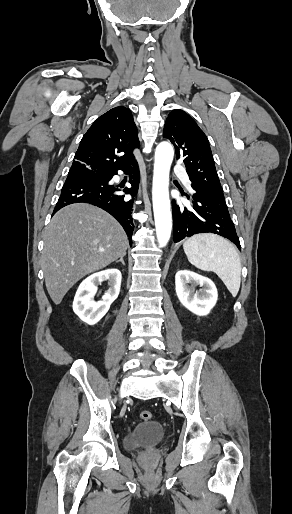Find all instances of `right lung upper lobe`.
I'll return each instance as SVG.
<instances>
[{
  "instance_id": "obj_1",
  "label": "right lung upper lobe",
  "mask_w": 292,
  "mask_h": 514,
  "mask_svg": "<svg viewBox=\"0 0 292 514\" xmlns=\"http://www.w3.org/2000/svg\"><path fill=\"white\" fill-rule=\"evenodd\" d=\"M140 147L130 109L115 107L100 116L83 136L69 174H110L136 162Z\"/></svg>"
}]
</instances>
